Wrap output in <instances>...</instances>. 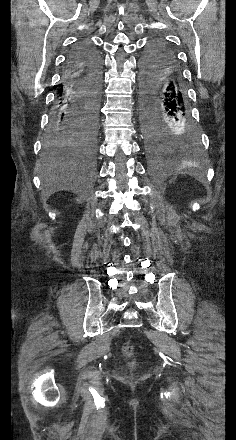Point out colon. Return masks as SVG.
<instances>
[{
  "label": "colon",
  "mask_w": 236,
  "mask_h": 440,
  "mask_svg": "<svg viewBox=\"0 0 236 440\" xmlns=\"http://www.w3.org/2000/svg\"><path fill=\"white\" fill-rule=\"evenodd\" d=\"M126 352H127V353L130 352V347H129V346L126 347Z\"/></svg>",
  "instance_id": "5ec220e1"
}]
</instances>
